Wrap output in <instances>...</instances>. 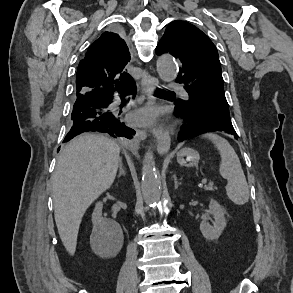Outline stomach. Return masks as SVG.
Segmentation results:
<instances>
[{"mask_svg": "<svg viewBox=\"0 0 293 293\" xmlns=\"http://www.w3.org/2000/svg\"><path fill=\"white\" fill-rule=\"evenodd\" d=\"M200 156L199 153L192 148H182L177 153V162L181 166L192 167L197 166Z\"/></svg>", "mask_w": 293, "mask_h": 293, "instance_id": "obj_1", "label": "stomach"}]
</instances>
